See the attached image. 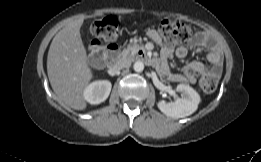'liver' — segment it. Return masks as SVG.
<instances>
[{"instance_id":"liver-1","label":"liver","mask_w":261,"mask_h":162,"mask_svg":"<svg viewBox=\"0 0 261 162\" xmlns=\"http://www.w3.org/2000/svg\"><path fill=\"white\" fill-rule=\"evenodd\" d=\"M83 19L68 23L53 38L47 56V73L53 91L67 106L83 110L84 90L93 78L80 28Z\"/></svg>"}]
</instances>
